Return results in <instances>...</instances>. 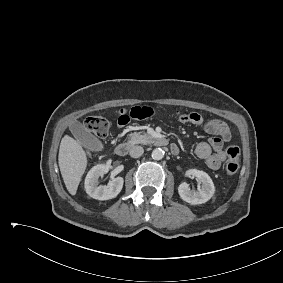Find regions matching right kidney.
Masks as SVG:
<instances>
[{
  "instance_id": "obj_1",
  "label": "right kidney",
  "mask_w": 283,
  "mask_h": 283,
  "mask_svg": "<svg viewBox=\"0 0 283 283\" xmlns=\"http://www.w3.org/2000/svg\"><path fill=\"white\" fill-rule=\"evenodd\" d=\"M108 168L104 164H98L91 168L85 178L86 193L97 200H109L115 198L122 190L124 180L122 177H116L109 181L107 185H99V177H102Z\"/></svg>"
}]
</instances>
